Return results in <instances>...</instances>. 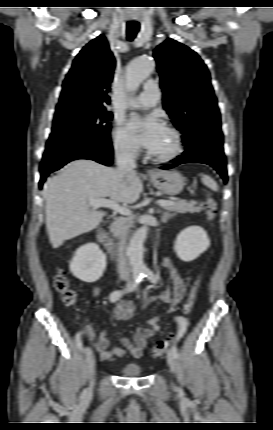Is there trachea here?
<instances>
[{
	"instance_id": "obj_1",
	"label": "trachea",
	"mask_w": 273,
	"mask_h": 430,
	"mask_svg": "<svg viewBox=\"0 0 273 430\" xmlns=\"http://www.w3.org/2000/svg\"><path fill=\"white\" fill-rule=\"evenodd\" d=\"M139 24L138 23H128L127 25V39L129 41H133L136 37L138 31H139Z\"/></svg>"
}]
</instances>
